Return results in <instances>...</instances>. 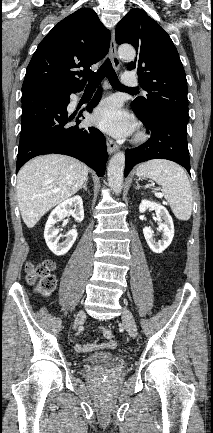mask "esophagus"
Masks as SVG:
<instances>
[{
  "mask_svg": "<svg viewBox=\"0 0 213 433\" xmlns=\"http://www.w3.org/2000/svg\"><path fill=\"white\" fill-rule=\"evenodd\" d=\"M109 55L114 68L117 70L120 67V60L117 56V45L115 41V30H112ZM119 149L118 145L110 138H107V150L109 154L116 152Z\"/></svg>",
  "mask_w": 213,
  "mask_h": 433,
  "instance_id": "esophagus-1",
  "label": "esophagus"
}]
</instances>
